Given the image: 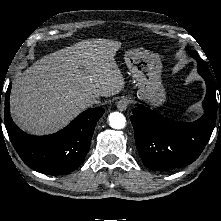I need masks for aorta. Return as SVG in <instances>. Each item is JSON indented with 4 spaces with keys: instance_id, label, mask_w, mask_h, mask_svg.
Segmentation results:
<instances>
[{
    "instance_id": "762f6f07",
    "label": "aorta",
    "mask_w": 221,
    "mask_h": 221,
    "mask_svg": "<svg viewBox=\"0 0 221 221\" xmlns=\"http://www.w3.org/2000/svg\"><path fill=\"white\" fill-rule=\"evenodd\" d=\"M109 125L114 129H123L126 125V118L122 113L112 112L109 117Z\"/></svg>"
}]
</instances>
